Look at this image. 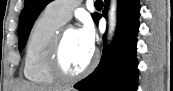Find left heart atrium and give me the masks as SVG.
I'll list each match as a JSON object with an SVG mask.
<instances>
[{
    "instance_id": "left-heart-atrium-1",
    "label": "left heart atrium",
    "mask_w": 173,
    "mask_h": 91,
    "mask_svg": "<svg viewBox=\"0 0 173 91\" xmlns=\"http://www.w3.org/2000/svg\"><path fill=\"white\" fill-rule=\"evenodd\" d=\"M77 33L82 44L88 49L93 50L96 36L92 23L89 20H85Z\"/></svg>"
}]
</instances>
